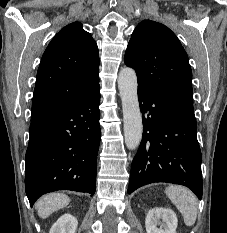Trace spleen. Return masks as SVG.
I'll return each instance as SVG.
<instances>
[{"mask_svg":"<svg viewBox=\"0 0 227 233\" xmlns=\"http://www.w3.org/2000/svg\"><path fill=\"white\" fill-rule=\"evenodd\" d=\"M165 193L182 214L184 223L193 226L198 210V201L193 192L183 186L170 185L165 189Z\"/></svg>","mask_w":227,"mask_h":233,"instance_id":"obj_1","label":"spleen"}]
</instances>
